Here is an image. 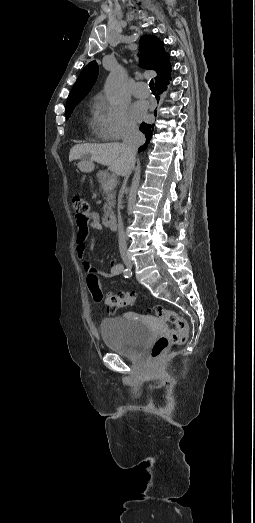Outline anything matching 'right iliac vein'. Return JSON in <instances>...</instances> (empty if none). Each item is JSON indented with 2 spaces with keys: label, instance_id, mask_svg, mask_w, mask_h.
I'll list each match as a JSON object with an SVG mask.
<instances>
[{
  "label": "right iliac vein",
  "instance_id": "1",
  "mask_svg": "<svg viewBox=\"0 0 255 523\" xmlns=\"http://www.w3.org/2000/svg\"><path fill=\"white\" fill-rule=\"evenodd\" d=\"M125 264H126V266L129 267V268L132 267V263H131V261H129V260H126V261H125Z\"/></svg>",
  "mask_w": 255,
  "mask_h": 523
}]
</instances>
